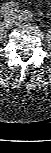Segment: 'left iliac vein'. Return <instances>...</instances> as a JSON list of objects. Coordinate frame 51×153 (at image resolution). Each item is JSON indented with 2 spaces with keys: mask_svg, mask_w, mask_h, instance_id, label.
Instances as JSON below:
<instances>
[{
  "mask_svg": "<svg viewBox=\"0 0 51 153\" xmlns=\"http://www.w3.org/2000/svg\"><path fill=\"white\" fill-rule=\"evenodd\" d=\"M12 16H13L14 18H17V15H16L15 13H13ZM17 24H20V23L17 22Z\"/></svg>",
  "mask_w": 51,
  "mask_h": 153,
  "instance_id": "1",
  "label": "left iliac vein"
}]
</instances>
